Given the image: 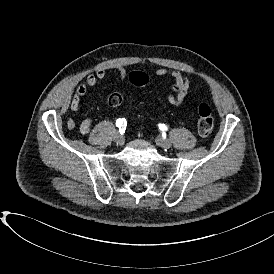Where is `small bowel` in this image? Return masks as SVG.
I'll return each instance as SVG.
<instances>
[{"mask_svg": "<svg viewBox=\"0 0 274 274\" xmlns=\"http://www.w3.org/2000/svg\"><path fill=\"white\" fill-rule=\"evenodd\" d=\"M119 78L122 80L126 76V71L122 66L116 68ZM157 77H169L172 79L171 92L167 94V101L173 106L184 104L192 92V83L188 76L176 69L160 67L155 70ZM106 78V71L99 69L95 73L89 74L85 80H82L76 86L70 101V108L78 111L81 99L87 94L89 88L96 86L100 81ZM92 126V120L84 119L79 127L80 133L85 135L89 133Z\"/></svg>", "mask_w": 274, "mask_h": 274, "instance_id": "c3829d8e", "label": "small bowel"}]
</instances>
